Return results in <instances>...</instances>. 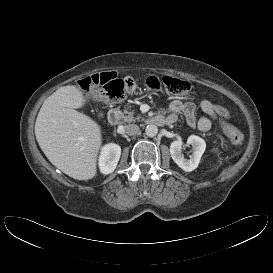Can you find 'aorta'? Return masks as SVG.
I'll list each match as a JSON object with an SVG mask.
<instances>
[{
    "label": "aorta",
    "mask_w": 273,
    "mask_h": 273,
    "mask_svg": "<svg viewBox=\"0 0 273 273\" xmlns=\"http://www.w3.org/2000/svg\"><path fill=\"white\" fill-rule=\"evenodd\" d=\"M145 133L148 137H154L158 133V128L156 125H153V124L147 125L145 129Z\"/></svg>",
    "instance_id": "762f6f07"
}]
</instances>
